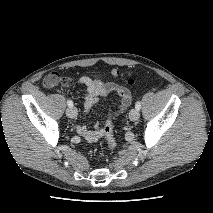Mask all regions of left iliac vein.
<instances>
[{
  "mask_svg": "<svg viewBox=\"0 0 213 213\" xmlns=\"http://www.w3.org/2000/svg\"><path fill=\"white\" fill-rule=\"evenodd\" d=\"M140 113L139 110L137 109H131V111L129 112V118L131 121H136L139 119Z\"/></svg>",
  "mask_w": 213,
  "mask_h": 213,
  "instance_id": "obj_1",
  "label": "left iliac vein"
}]
</instances>
